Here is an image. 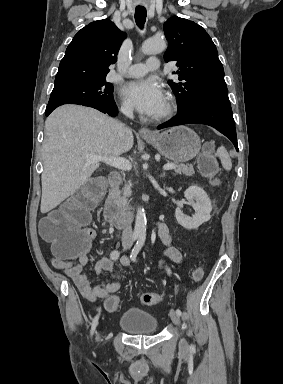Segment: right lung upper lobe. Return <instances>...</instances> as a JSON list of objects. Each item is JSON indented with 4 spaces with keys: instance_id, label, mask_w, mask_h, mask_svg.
<instances>
[{
    "instance_id": "cb5924a9",
    "label": "right lung upper lobe",
    "mask_w": 283,
    "mask_h": 384,
    "mask_svg": "<svg viewBox=\"0 0 283 384\" xmlns=\"http://www.w3.org/2000/svg\"><path fill=\"white\" fill-rule=\"evenodd\" d=\"M125 37L108 19L86 25L67 47L54 87L105 79Z\"/></svg>"
}]
</instances>
